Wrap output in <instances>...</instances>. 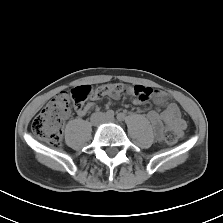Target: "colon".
Instances as JSON below:
<instances>
[{"instance_id":"5ec220e1","label":"colon","mask_w":223,"mask_h":223,"mask_svg":"<svg viewBox=\"0 0 223 223\" xmlns=\"http://www.w3.org/2000/svg\"><path fill=\"white\" fill-rule=\"evenodd\" d=\"M132 92L141 102L148 101L153 95L164 101L170 100V95L165 91H154L141 85L129 87L123 83H115L92 89L84 85L73 88L70 92H63L52 99L49 104L33 119L31 129L35 136L44 140L52 148H59L62 143V126L68 117L71 106L79 111L85 103L92 99H100L110 95ZM165 141L175 144L178 135L173 130L165 132Z\"/></svg>"}]
</instances>
